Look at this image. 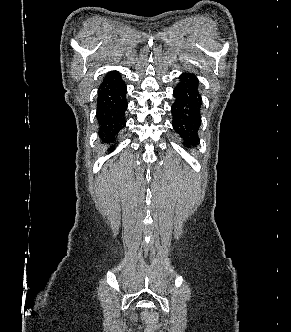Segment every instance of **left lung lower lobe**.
<instances>
[{"mask_svg": "<svg viewBox=\"0 0 291 332\" xmlns=\"http://www.w3.org/2000/svg\"><path fill=\"white\" fill-rule=\"evenodd\" d=\"M199 81L193 73H183L173 91L175 98L171 106L173 129L189 146L198 144V130L201 125L202 99Z\"/></svg>", "mask_w": 291, "mask_h": 332, "instance_id": "0a47b994", "label": "left lung lower lobe"}]
</instances>
